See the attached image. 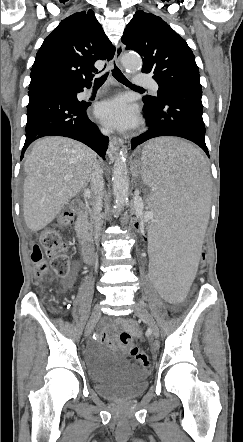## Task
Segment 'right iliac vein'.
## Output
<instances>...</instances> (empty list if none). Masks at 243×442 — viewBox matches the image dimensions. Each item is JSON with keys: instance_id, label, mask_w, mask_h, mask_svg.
<instances>
[{"instance_id": "obj_1", "label": "right iliac vein", "mask_w": 243, "mask_h": 442, "mask_svg": "<svg viewBox=\"0 0 243 442\" xmlns=\"http://www.w3.org/2000/svg\"><path fill=\"white\" fill-rule=\"evenodd\" d=\"M101 316V306L100 304H96L93 311H92V315L87 323L86 329H85V337H88L91 332L93 331V328L97 322V320L100 318Z\"/></svg>"}]
</instances>
